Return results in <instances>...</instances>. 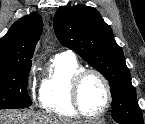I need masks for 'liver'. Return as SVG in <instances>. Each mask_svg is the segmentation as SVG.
I'll return each instance as SVG.
<instances>
[{
	"label": "liver",
	"mask_w": 145,
	"mask_h": 124,
	"mask_svg": "<svg viewBox=\"0 0 145 124\" xmlns=\"http://www.w3.org/2000/svg\"><path fill=\"white\" fill-rule=\"evenodd\" d=\"M0 124H79V122L33 111H0Z\"/></svg>",
	"instance_id": "6515ba94"
}]
</instances>
